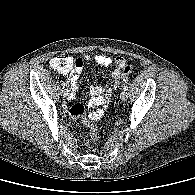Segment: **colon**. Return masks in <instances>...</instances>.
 Here are the masks:
<instances>
[{"label": "colon", "mask_w": 195, "mask_h": 195, "mask_svg": "<svg viewBox=\"0 0 195 195\" xmlns=\"http://www.w3.org/2000/svg\"><path fill=\"white\" fill-rule=\"evenodd\" d=\"M51 66L61 73H66L71 68L72 61L70 57L57 56L51 60ZM131 72L132 67L130 65H125L115 78V88H119L122 84H124ZM83 123L89 132L90 138L96 140L98 138V130L96 124L92 120L87 118L83 119Z\"/></svg>", "instance_id": "5ec220e1"}]
</instances>
